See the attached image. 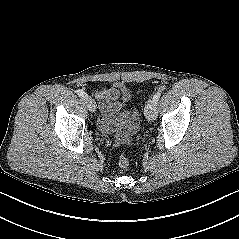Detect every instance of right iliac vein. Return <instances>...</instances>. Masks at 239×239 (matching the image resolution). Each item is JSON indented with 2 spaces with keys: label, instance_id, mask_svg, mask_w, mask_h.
Here are the masks:
<instances>
[{
  "label": "right iliac vein",
  "instance_id": "right-iliac-vein-1",
  "mask_svg": "<svg viewBox=\"0 0 239 239\" xmlns=\"http://www.w3.org/2000/svg\"><path fill=\"white\" fill-rule=\"evenodd\" d=\"M83 100L86 103L88 110L90 112H95L96 105H95L94 100L87 94L83 97Z\"/></svg>",
  "mask_w": 239,
  "mask_h": 239
}]
</instances>
